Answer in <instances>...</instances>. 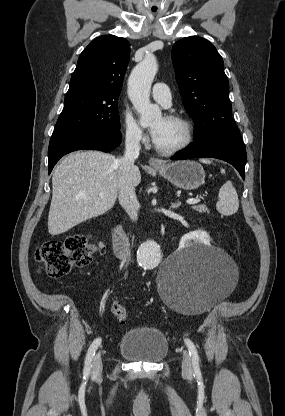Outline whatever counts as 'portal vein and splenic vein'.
Masks as SVG:
<instances>
[{"instance_id":"obj_1","label":"portal vein and splenic vein","mask_w":285,"mask_h":416,"mask_svg":"<svg viewBox=\"0 0 285 416\" xmlns=\"http://www.w3.org/2000/svg\"><path fill=\"white\" fill-rule=\"evenodd\" d=\"M99 196H104V194H99ZM187 204H198L200 200H197V198H191V200H186Z\"/></svg>"}]
</instances>
